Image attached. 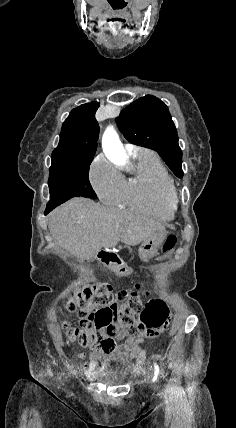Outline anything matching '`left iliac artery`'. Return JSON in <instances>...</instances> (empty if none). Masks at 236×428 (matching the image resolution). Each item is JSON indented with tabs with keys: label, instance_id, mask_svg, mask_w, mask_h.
<instances>
[{
	"label": "left iliac artery",
	"instance_id": "44dca946",
	"mask_svg": "<svg viewBox=\"0 0 236 428\" xmlns=\"http://www.w3.org/2000/svg\"><path fill=\"white\" fill-rule=\"evenodd\" d=\"M155 367V377H157L158 373H159V367L158 365H156V363L154 364Z\"/></svg>",
	"mask_w": 236,
	"mask_h": 428
}]
</instances>
